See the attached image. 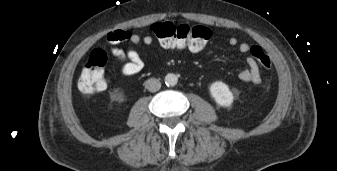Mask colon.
Listing matches in <instances>:
<instances>
[{
	"mask_svg": "<svg viewBox=\"0 0 337 171\" xmlns=\"http://www.w3.org/2000/svg\"><path fill=\"white\" fill-rule=\"evenodd\" d=\"M153 34L159 41L163 53H172L175 49L187 47L190 51H199L209 40L210 30L203 25L175 24L156 22L151 26ZM251 56L264 68L271 67V60L259 45L250 47ZM107 54L103 49L91 52L78 78V89L86 96L103 91L107 85L105 66Z\"/></svg>",
	"mask_w": 337,
	"mask_h": 171,
	"instance_id": "obj_1",
	"label": "colon"
}]
</instances>
